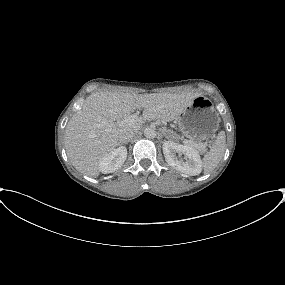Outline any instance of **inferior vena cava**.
Returning a JSON list of instances; mask_svg holds the SVG:
<instances>
[{"label":"inferior vena cava","mask_w":285,"mask_h":285,"mask_svg":"<svg viewBox=\"0 0 285 285\" xmlns=\"http://www.w3.org/2000/svg\"><path fill=\"white\" fill-rule=\"evenodd\" d=\"M137 131L134 129H123L119 133L118 140L120 143H128L135 135Z\"/></svg>","instance_id":"1"}]
</instances>
